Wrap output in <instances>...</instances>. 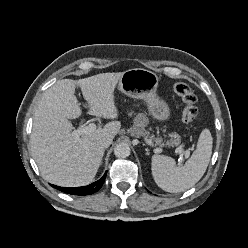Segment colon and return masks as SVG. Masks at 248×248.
Returning a JSON list of instances; mask_svg holds the SVG:
<instances>
[{
    "instance_id": "5ec220e1",
    "label": "colon",
    "mask_w": 248,
    "mask_h": 248,
    "mask_svg": "<svg viewBox=\"0 0 248 248\" xmlns=\"http://www.w3.org/2000/svg\"><path fill=\"white\" fill-rule=\"evenodd\" d=\"M174 91L184 103L182 121L185 124H191L192 122H194L198 114V109L196 106V95L194 94L190 86L184 82L176 83L174 85Z\"/></svg>"
}]
</instances>
